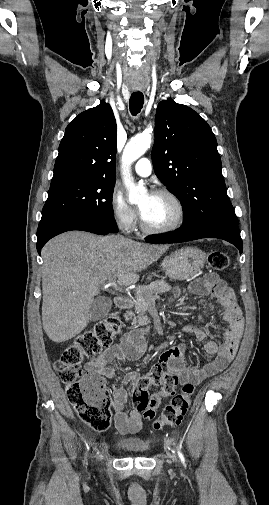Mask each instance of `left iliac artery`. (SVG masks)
<instances>
[{
    "label": "left iliac artery",
    "mask_w": 269,
    "mask_h": 505,
    "mask_svg": "<svg viewBox=\"0 0 269 505\" xmlns=\"http://www.w3.org/2000/svg\"><path fill=\"white\" fill-rule=\"evenodd\" d=\"M178 456H179L180 460L182 461V463L185 464V458L179 450H178Z\"/></svg>",
    "instance_id": "1"
}]
</instances>
